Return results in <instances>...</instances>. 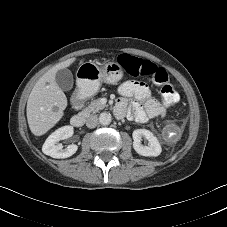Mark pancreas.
<instances>
[{"instance_id":"1","label":"pancreas","mask_w":227,"mask_h":227,"mask_svg":"<svg viewBox=\"0 0 227 227\" xmlns=\"http://www.w3.org/2000/svg\"><path fill=\"white\" fill-rule=\"evenodd\" d=\"M106 107L101 103L100 99L93 100L86 108L83 109L82 114L89 115L91 113H97Z\"/></svg>"}]
</instances>
